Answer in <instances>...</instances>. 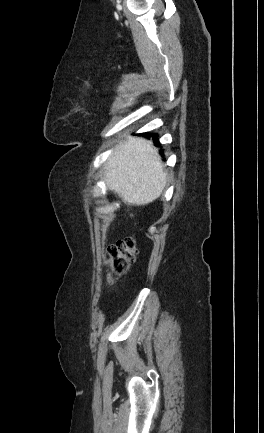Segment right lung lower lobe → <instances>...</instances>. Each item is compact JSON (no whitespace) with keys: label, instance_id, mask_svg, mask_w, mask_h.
Here are the masks:
<instances>
[{"label":"right lung lower lobe","instance_id":"obj_1","mask_svg":"<svg viewBox=\"0 0 264 433\" xmlns=\"http://www.w3.org/2000/svg\"><path fill=\"white\" fill-rule=\"evenodd\" d=\"M150 135L153 137L154 141H157V140H158L156 134H150ZM150 135H149V136H150Z\"/></svg>","mask_w":264,"mask_h":433}]
</instances>
